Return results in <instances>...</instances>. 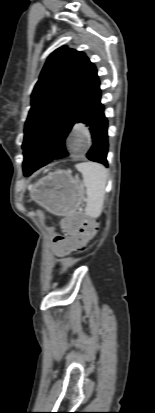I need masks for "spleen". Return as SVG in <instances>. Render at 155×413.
<instances>
[{
  "label": "spleen",
  "mask_w": 155,
  "mask_h": 413,
  "mask_svg": "<svg viewBox=\"0 0 155 413\" xmlns=\"http://www.w3.org/2000/svg\"><path fill=\"white\" fill-rule=\"evenodd\" d=\"M76 169L82 174L86 187L85 214L90 218H97L103 210L108 172L101 164L95 162L76 164Z\"/></svg>",
  "instance_id": "spleen-1"
}]
</instances>
